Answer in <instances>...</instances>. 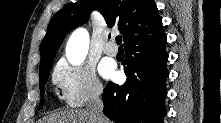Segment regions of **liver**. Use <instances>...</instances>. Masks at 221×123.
I'll use <instances>...</instances> for the list:
<instances>
[{
    "instance_id": "6515ba94",
    "label": "liver",
    "mask_w": 221,
    "mask_h": 123,
    "mask_svg": "<svg viewBox=\"0 0 221 123\" xmlns=\"http://www.w3.org/2000/svg\"><path fill=\"white\" fill-rule=\"evenodd\" d=\"M44 123H91V119L87 110L80 109L53 114L45 119ZM104 123H109L106 118Z\"/></svg>"
}]
</instances>
